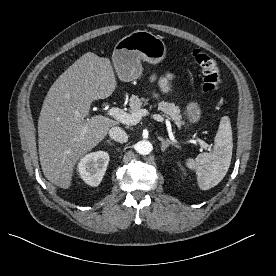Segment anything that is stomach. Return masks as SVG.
<instances>
[{
	"mask_svg": "<svg viewBox=\"0 0 276 276\" xmlns=\"http://www.w3.org/2000/svg\"><path fill=\"white\" fill-rule=\"evenodd\" d=\"M167 55L164 41L151 32L137 30L119 40L112 53V62L121 81L130 82L138 79L142 73L141 61L157 64ZM190 123L201 118V108L197 102H190L186 107Z\"/></svg>",
	"mask_w": 276,
	"mask_h": 276,
	"instance_id": "1",
	"label": "stomach"
}]
</instances>
